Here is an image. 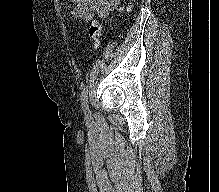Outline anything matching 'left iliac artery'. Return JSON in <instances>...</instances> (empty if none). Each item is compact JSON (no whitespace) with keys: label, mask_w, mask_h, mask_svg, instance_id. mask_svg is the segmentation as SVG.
<instances>
[{"label":"left iliac artery","mask_w":219,"mask_h":192,"mask_svg":"<svg viewBox=\"0 0 219 192\" xmlns=\"http://www.w3.org/2000/svg\"><path fill=\"white\" fill-rule=\"evenodd\" d=\"M81 103H82V108H83V111L86 117L89 118L90 110H89V105H88V86L83 87V90L81 93Z\"/></svg>","instance_id":"44dca946"}]
</instances>
